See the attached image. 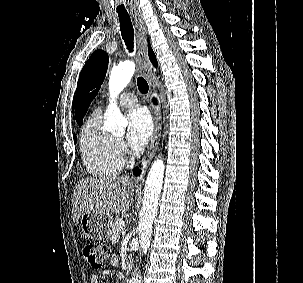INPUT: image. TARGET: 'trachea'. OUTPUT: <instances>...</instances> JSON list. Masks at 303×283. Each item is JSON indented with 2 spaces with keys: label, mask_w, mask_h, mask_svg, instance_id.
Segmentation results:
<instances>
[{
  "label": "trachea",
  "mask_w": 303,
  "mask_h": 283,
  "mask_svg": "<svg viewBox=\"0 0 303 283\" xmlns=\"http://www.w3.org/2000/svg\"><path fill=\"white\" fill-rule=\"evenodd\" d=\"M120 20V30L122 34V38L126 44L129 52H133L134 49V29L131 22L130 17L127 16H119ZM137 86L139 91L142 94H146L148 92L149 86L146 80L143 77L137 78Z\"/></svg>",
  "instance_id": "1"
}]
</instances>
